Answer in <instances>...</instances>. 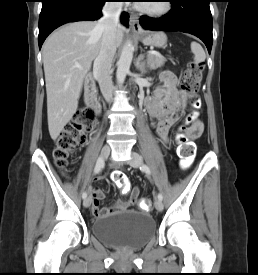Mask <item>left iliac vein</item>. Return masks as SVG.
<instances>
[{
    "instance_id": "1",
    "label": "left iliac vein",
    "mask_w": 258,
    "mask_h": 275,
    "mask_svg": "<svg viewBox=\"0 0 258 275\" xmlns=\"http://www.w3.org/2000/svg\"><path fill=\"white\" fill-rule=\"evenodd\" d=\"M128 163L134 168H139L142 164V157L139 154L132 152L131 159L128 161ZM155 207L158 211H162L164 208L162 201L157 199L155 202Z\"/></svg>"
}]
</instances>
